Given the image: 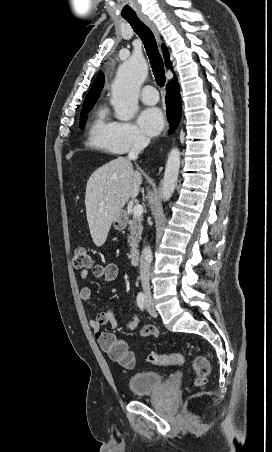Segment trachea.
Returning a JSON list of instances; mask_svg holds the SVG:
<instances>
[{"mask_svg":"<svg viewBox=\"0 0 272 452\" xmlns=\"http://www.w3.org/2000/svg\"><path fill=\"white\" fill-rule=\"evenodd\" d=\"M124 19L128 21L136 34L141 38L149 57L155 80L160 87H163L166 81L164 65L154 34L136 15L124 17Z\"/></svg>","mask_w":272,"mask_h":452,"instance_id":"obj_1","label":"trachea"}]
</instances>
